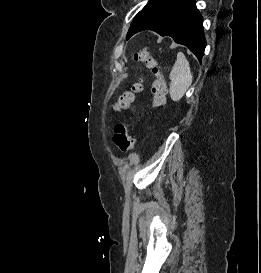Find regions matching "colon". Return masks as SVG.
I'll list each match as a JSON object with an SVG mask.
<instances>
[{"label":"colon","mask_w":261,"mask_h":273,"mask_svg":"<svg viewBox=\"0 0 261 273\" xmlns=\"http://www.w3.org/2000/svg\"><path fill=\"white\" fill-rule=\"evenodd\" d=\"M135 59L140 62L146 63L147 67L151 69L154 76L152 83V107H160L164 105L167 96V86L163 77L158 59L151 53L149 48L142 47L136 54ZM142 90V83L140 81L134 83L128 89L124 90L117 98L114 109L123 111L133 106L137 93ZM113 142L118 150L127 152L134 147V138L130 133L128 126L124 123L115 125Z\"/></svg>","instance_id":"5ec220e1"}]
</instances>
